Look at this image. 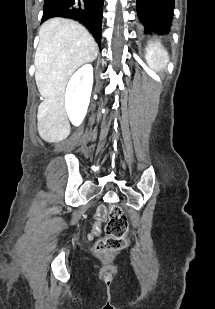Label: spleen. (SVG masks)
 Segmentation results:
<instances>
[{
	"label": "spleen",
	"instance_id": "3e777b00",
	"mask_svg": "<svg viewBox=\"0 0 215 309\" xmlns=\"http://www.w3.org/2000/svg\"><path fill=\"white\" fill-rule=\"evenodd\" d=\"M145 58L150 68H153V70L163 68L169 60L168 52L165 50L164 46H162L161 42H149L148 46H146Z\"/></svg>",
	"mask_w": 215,
	"mask_h": 309
}]
</instances>
